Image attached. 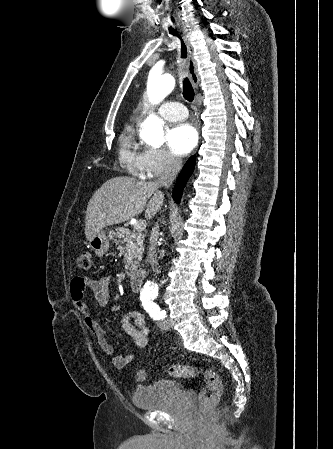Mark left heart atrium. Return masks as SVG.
<instances>
[{
  "label": "left heart atrium",
  "mask_w": 333,
  "mask_h": 449,
  "mask_svg": "<svg viewBox=\"0 0 333 449\" xmlns=\"http://www.w3.org/2000/svg\"><path fill=\"white\" fill-rule=\"evenodd\" d=\"M198 134L189 123H180L167 133V142L172 153L185 156L196 146Z\"/></svg>",
  "instance_id": "39dd6f15"
}]
</instances>
